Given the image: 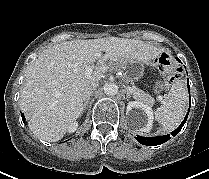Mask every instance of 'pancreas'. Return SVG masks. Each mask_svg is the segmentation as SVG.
I'll list each match as a JSON object with an SVG mask.
<instances>
[{"label": "pancreas", "mask_w": 209, "mask_h": 179, "mask_svg": "<svg viewBox=\"0 0 209 179\" xmlns=\"http://www.w3.org/2000/svg\"><path fill=\"white\" fill-rule=\"evenodd\" d=\"M113 68L115 70L119 69V64L118 63H113ZM132 96L138 100L139 102L148 104V105H153L154 104V99L146 92L142 91L141 89L133 86L132 91L130 92Z\"/></svg>", "instance_id": "obj_1"}]
</instances>
